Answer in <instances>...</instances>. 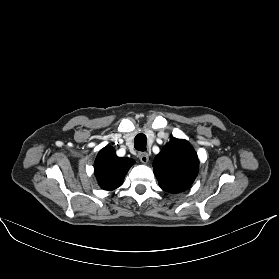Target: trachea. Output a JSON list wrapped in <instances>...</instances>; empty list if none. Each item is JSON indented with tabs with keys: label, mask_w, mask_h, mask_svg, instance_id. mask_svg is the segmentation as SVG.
<instances>
[{
	"label": "trachea",
	"mask_w": 279,
	"mask_h": 279,
	"mask_svg": "<svg viewBox=\"0 0 279 279\" xmlns=\"http://www.w3.org/2000/svg\"><path fill=\"white\" fill-rule=\"evenodd\" d=\"M146 142H147L146 135L143 133H139L138 135H136L134 139L135 149L142 152L146 151Z\"/></svg>",
	"instance_id": "3493384b"
}]
</instances>
